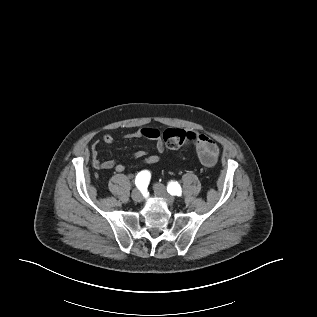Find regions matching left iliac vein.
Segmentation results:
<instances>
[{
	"label": "left iliac vein",
	"mask_w": 317,
	"mask_h": 317,
	"mask_svg": "<svg viewBox=\"0 0 317 317\" xmlns=\"http://www.w3.org/2000/svg\"><path fill=\"white\" fill-rule=\"evenodd\" d=\"M153 189L156 195L164 198L168 205H172L174 203V197L167 192L166 187L163 184L156 183L154 184Z\"/></svg>",
	"instance_id": "1"
}]
</instances>
